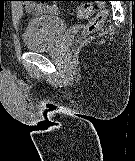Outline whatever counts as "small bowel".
<instances>
[{"label":"small bowel","instance_id":"c3829d8e","mask_svg":"<svg viewBox=\"0 0 135 161\" xmlns=\"http://www.w3.org/2000/svg\"><path fill=\"white\" fill-rule=\"evenodd\" d=\"M24 4H25L26 9L33 13H42L43 11H48V12L57 11L55 6H49V7H46L45 9L35 8L32 1H24Z\"/></svg>","mask_w":135,"mask_h":161}]
</instances>
